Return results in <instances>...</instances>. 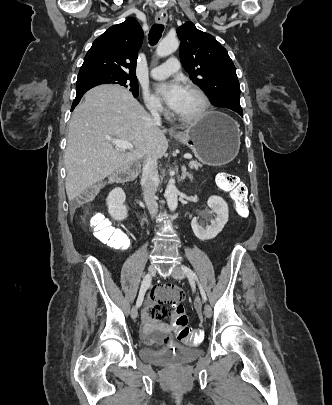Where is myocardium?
Here are the masks:
<instances>
[{
    "label": "myocardium",
    "instance_id": "obj_1",
    "mask_svg": "<svg viewBox=\"0 0 332 405\" xmlns=\"http://www.w3.org/2000/svg\"><path fill=\"white\" fill-rule=\"evenodd\" d=\"M185 89L193 92L195 95L198 96V98L200 99V102H201V106H200L199 110L192 116H188V117L179 116L176 113L174 114V116L178 120H180L182 122H186V123L199 121L205 116V114L207 113V111L209 109V105H210L209 98L206 95V93L197 85L188 84L185 86Z\"/></svg>",
    "mask_w": 332,
    "mask_h": 405
}]
</instances>
